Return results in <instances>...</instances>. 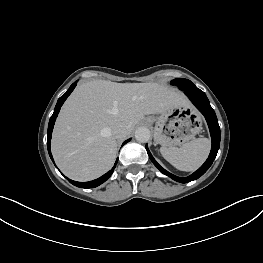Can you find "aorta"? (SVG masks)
I'll return each instance as SVG.
<instances>
[{
  "mask_svg": "<svg viewBox=\"0 0 263 263\" xmlns=\"http://www.w3.org/2000/svg\"><path fill=\"white\" fill-rule=\"evenodd\" d=\"M151 137L150 130L147 127H139L135 131V139L140 143H146Z\"/></svg>",
  "mask_w": 263,
  "mask_h": 263,
  "instance_id": "aorta-1",
  "label": "aorta"
}]
</instances>
